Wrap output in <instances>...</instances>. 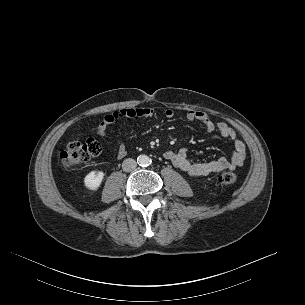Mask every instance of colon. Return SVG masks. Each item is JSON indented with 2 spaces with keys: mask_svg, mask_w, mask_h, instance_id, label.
Listing matches in <instances>:
<instances>
[{
  "mask_svg": "<svg viewBox=\"0 0 305 305\" xmlns=\"http://www.w3.org/2000/svg\"><path fill=\"white\" fill-rule=\"evenodd\" d=\"M101 153L100 143L89 138L85 141L73 140L69 142L66 149L60 153V162L66 168H73L89 162ZM237 177L230 171H223L218 176V182L223 185L235 183Z\"/></svg>",
  "mask_w": 305,
  "mask_h": 305,
  "instance_id": "obj_1",
  "label": "colon"
}]
</instances>
